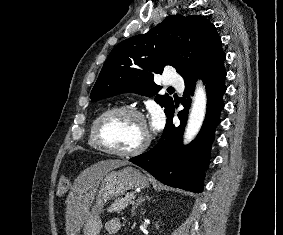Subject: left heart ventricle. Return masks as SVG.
I'll list each match as a JSON object with an SVG mask.
<instances>
[{
  "mask_svg": "<svg viewBox=\"0 0 283 235\" xmlns=\"http://www.w3.org/2000/svg\"><path fill=\"white\" fill-rule=\"evenodd\" d=\"M146 128L135 116L120 115L108 120L102 129L104 142L120 151L138 147L144 140Z\"/></svg>",
  "mask_w": 283,
  "mask_h": 235,
  "instance_id": "left-heart-ventricle-1",
  "label": "left heart ventricle"
}]
</instances>
